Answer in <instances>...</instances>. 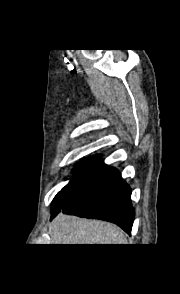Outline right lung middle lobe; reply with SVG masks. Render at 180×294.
<instances>
[{
	"mask_svg": "<svg viewBox=\"0 0 180 294\" xmlns=\"http://www.w3.org/2000/svg\"><path fill=\"white\" fill-rule=\"evenodd\" d=\"M90 158H86V159H84L83 161H81V162H79L78 164H77V166H76V169H75V175H74V177L73 178H71V180H70V182H69V184L68 185H66L62 190H61V192L63 191V190H65L72 182H73V180L76 178V176L78 175V173L81 171V169L84 167V165L87 163V161L89 160ZM61 192H59L57 195H56V197L61 193ZM55 197V198H56ZM54 198V199H55ZM54 201V200H53Z\"/></svg>",
	"mask_w": 180,
	"mask_h": 294,
	"instance_id": "obj_1",
	"label": "right lung middle lobe"
}]
</instances>
